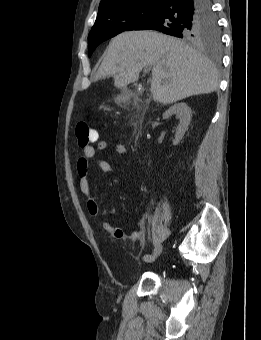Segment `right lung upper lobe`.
Here are the masks:
<instances>
[{
    "mask_svg": "<svg viewBox=\"0 0 261 340\" xmlns=\"http://www.w3.org/2000/svg\"><path fill=\"white\" fill-rule=\"evenodd\" d=\"M136 1H146V0H101L100 5H99L98 15H100L101 13H103L104 11L108 9L127 5L129 3L136 2Z\"/></svg>",
    "mask_w": 261,
    "mask_h": 340,
    "instance_id": "cb5924a9",
    "label": "right lung upper lobe"
}]
</instances>
